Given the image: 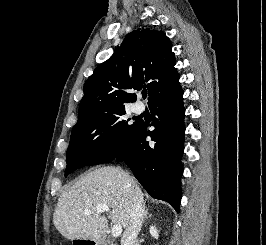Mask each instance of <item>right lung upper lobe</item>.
<instances>
[{
    "label": "right lung upper lobe",
    "mask_w": 266,
    "mask_h": 245,
    "mask_svg": "<svg viewBox=\"0 0 266 245\" xmlns=\"http://www.w3.org/2000/svg\"><path fill=\"white\" fill-rule=\"evenodd\" d=\"M172 45L163 31L140 28L127 34L114 54L97 66L84 84L78 121L125 109L130 89L146 87L149 102L179 80Z\"/></svg>",
    "instance_id": "right-lung-upper-lobe-1"
}]
</instances>
